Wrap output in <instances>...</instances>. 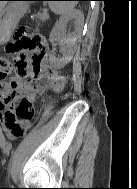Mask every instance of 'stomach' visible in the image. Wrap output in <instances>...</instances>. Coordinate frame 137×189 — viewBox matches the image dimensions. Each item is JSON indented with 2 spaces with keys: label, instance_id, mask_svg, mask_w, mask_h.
<instances>
[{
  "label": "stomach",
  "instance_id": "1",
  "mask_svg": "<svg viewBox=\"0 0 137 189\" xmlns=\"http://www.w3.org/2000/svg\"><path fill=\"white\" fill-rule=\"evenodd\" d=\"M17 6L16 3L10 2L0 12V34L9 32L13 28L15 19L18 16Z\"/></svg>",
  "mask_w": 137,
  "mask_h": 189
}]
</instances>
